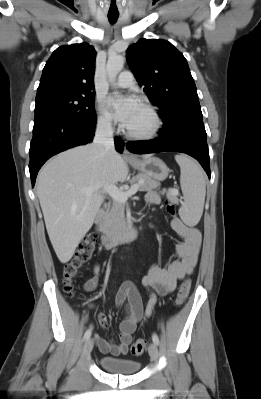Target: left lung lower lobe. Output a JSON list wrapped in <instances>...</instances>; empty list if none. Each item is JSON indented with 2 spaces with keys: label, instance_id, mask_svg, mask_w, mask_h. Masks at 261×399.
<instances>
[{
  "label": "left lung lower lobe",
  "instance_id": "obj_1",
  "mask_svg": "<svg viewBox=\"0 0 261 399\" xmlns=\"http://www.w3.org/2000/svg\"><path fill=\"white\" fill-rule=\"evenodd\" d=\"M149 141L128 142L132 153L147 154L164 151L186 153L199 161L208 177H211L207 135L202 118L190 119L175 129Z\"/></svg>",
  "mask_w": 261,
  "mask_h": 399
}]
</instances>
